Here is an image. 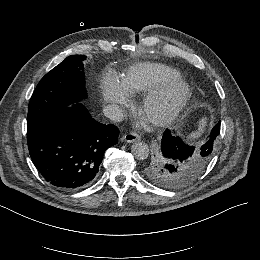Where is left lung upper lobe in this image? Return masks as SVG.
Masks as SVG:
<instances>
[{
	"instance_id": "left-lung-upper-lobe-1",
	"label": "left lung upper lobe",
	"mask_w": 260,
	"mask_h": 260,
	"mask_svg": "<svg viewBox=\"0 0 260 260\" xmlns=\"http://www.w3.org/2000/svg\"><path fill=\"white\" fill-rule=\"evenodd\" d=\"M213 153L194 151L187 157L166 159L158 143L143 165L144 176L165 189H177L193 183L203 173Z\"/></svg>"
}]
</instances>
